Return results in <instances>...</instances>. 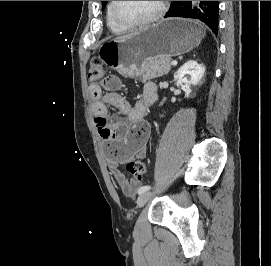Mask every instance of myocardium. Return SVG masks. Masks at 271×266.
Returning a JSON list of instances; mask_svg holds the SVG:
<instances>
[{"label":"myocardium","instance_id":"1","mask_svg":"<svg viewBox=\"0 0 271 266\" xmlns=\"http://www.w3.org/2000/svg\"><path fill=\"white\" fill-rule=\"evenodd\" d=\"M117 5H118V1H112V6H111L112 17L116 23H118L119 25H121L127 29L138 28V27H143V26L153 24V23L159 21L164 16V14L166 12V2L159 1L158 9L152 16H150L142 21L131 22V21H127L119 16V14L117 12Z\"/></svg>","mask_w":271,"mask_h":266}]
</instances>
